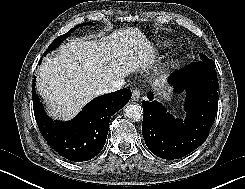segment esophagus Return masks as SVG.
Segmentation results:
<instances>
[{
    "label": "esophagus",
    "mask_w": 245,
    "mask_h": 189,
    "mask_svg": "<svg viewBox=\"0 0 245 189\" xmlns=\"http://www.w3.org/2000/svg\"><path fill=\"white\" fill-rule=\"evenodd\" d=\"M141 97V92L137 89L132 91V100L133 101H138Z\"/></svg>",
    "instance_id": "esophagus-1"
}]
</instances>
